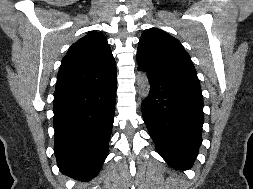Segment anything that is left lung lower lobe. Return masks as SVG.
<instances>
[{"label":"left lung lower lobe","mask_w":253,"mask_h":189,"mask_svg":"<svg viewBox=\"0 0 253 189\" xmlns=\"http://www.w3.org/2000/svg\"><path fill=\"white\" fill-rule=\"evenodd\" d=\"M148 77L151 88L142 115L149 134L170 166L189 169L202 143L201 88L167 77Z\"/></svg>","instance_id":"left-lung-lower-lobe-1"}]
</instances>
